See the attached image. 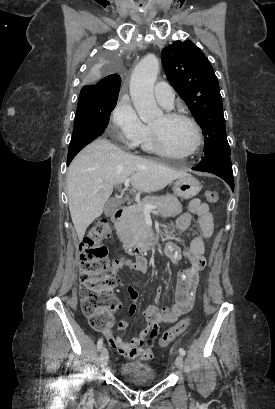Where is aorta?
I'll return each instance as SVG.
<instances>
[{
	"label": "aorta",
	"mask_w": 275,
	"mask_h": 409,
	"mask_svg": "<svg viewBox=\"0 0 275 409\" xmlns=\"http://www.w3.org/2000/svg\"><path fill=\"white\" fill-rule=\"evenodd\" d=\"M158 51H149L136 64L130 80L132 102L143 122H150L162 116L163 110L157 106L154 96V82L159 72Z\"/></svg>",
	"instance_id": "aorta-1"
}]
</instances>
